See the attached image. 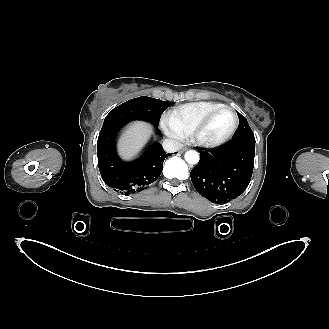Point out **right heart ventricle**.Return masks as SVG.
<instances>
[{
	"instance_id": "e07e8e85",
	"label": "right heart ventricle",
	"mask_w": 329,
	"mask_h": 329,
	"mask_svg": "<svg viewBox=\"0 0 329 329\" xmlns=\"http://www.w3.org/2000/svg\"><path fill=\"white\" fill-rule=\"evenodd\" d=\"M224 105L220 102L201 101L181 105L173 108L168 113V120L184 136L190 134L194 126L200 122L208 113Z\"/></svg>"
}]
</instances>
